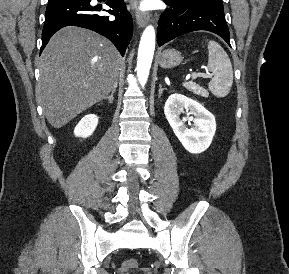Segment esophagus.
Returning <instances> with one entry per match:
<instances>
[{
	"label": "esophagus",
	"instance_id": "esophagus-1",
	"mask_svg": "<svg viewBox=\"0 0 289 274\" xmlns=\"http://www.w3.org/2000/svg\"><path fill=\"white\" fill-rule=\"evenodd\" d=\"M131 5L133 9H135V16L138 26L144 27L149 20L148 15L146 13H141L137 10V0H131Z\"/></svg>",
	"mask_w": 289,
	"mask_h": 274
}]
</instances>
